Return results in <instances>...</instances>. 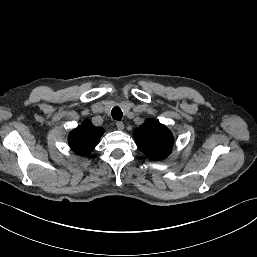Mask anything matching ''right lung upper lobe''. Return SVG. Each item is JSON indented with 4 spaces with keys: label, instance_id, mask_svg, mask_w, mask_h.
<instances>
[{
    "label": "right lung upper lobe",
    "instance_id": "cb5924a9",
    "mask_svg": "<svg viewBox=\"0 0 257 257\" xmlns=\"http://www.w3.org/2000/svg\"><path fill=\"white\" fill-rule=\"evenodd\" d=\"M103 133V128L95 127L87 120L70 133L68 142L73 151L85 156L93 151L94 147L99 143V139Z\"/></svg>",
    "mask_w": 257,
    "mask_h": 257
}]
</instances>
